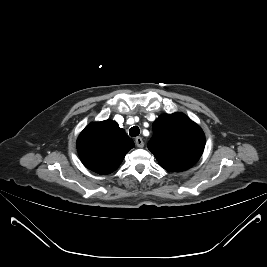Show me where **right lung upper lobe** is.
I'll list each match as a JSON object with an SVG mask.
<instances>
[{
    "mask_svg": "<svg viewBox=\"0 0 267 267\" xmlns=\"http://www.w3.org/2000/svg\"><path fill=\"white\" fill-rule=\"evenodd\" d=\"M133 147V140L112 120L90 123L77 140L82 163L103 175L115 171Z\"/></svg>",
    "mask_w": 267,
    "mask_h": 267,
    "instance_id": "1",
    "label": "right lung upper lobe"
}]
</instances>
